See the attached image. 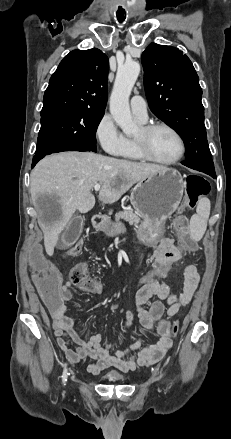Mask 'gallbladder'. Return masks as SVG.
<instances>
[{
  "instance_id": "obj_1",
  "label": "gallbladder",
  "mask_w": 231,
  "mask_h": 439,
  "mask_svg": "<svg viewBox=\"0 0 231 439\" xmlns=\"http://www.w3.org/2000/svg\"><path fill=\"white\" fill-rule=\"evenodd\" d=\"M83 221L84 217L79 215L74 216L69 221L61 235V245H59L60 248H68L79 239L83 228Z\"/></svg>"
}]
</instances>
